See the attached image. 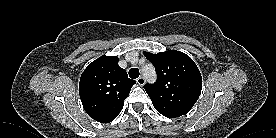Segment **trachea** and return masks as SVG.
<instances>
[{
    "label": "trachea",
    "instance_id": "trachea-1",
    "mask_svg": "<svg viewBox=\"0 0 276 138\" xmlns=\"http://www.w3.org/2000/svg\"><path fill=\"white\" fill-rule=\"evenodd\" d=\"M139 69L138 68H131L129 70V77L132 79H136L139 77Z\"/></svg>",
    "mask_w": 276,
    "mask_h": 138
}]
</instances>
